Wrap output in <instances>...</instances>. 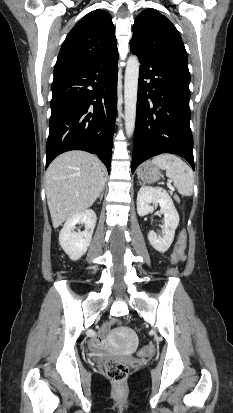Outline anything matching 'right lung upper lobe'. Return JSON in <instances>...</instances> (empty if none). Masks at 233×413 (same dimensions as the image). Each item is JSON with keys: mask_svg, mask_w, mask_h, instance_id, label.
<instances>
[{"mask_svg": "<svg viewBox=\"0 0 233 413\" xmlns=\"http://www.w3.org/2000/svg\"><path fill=\"white\" fill-rule=\"evenodd\" d=\"M118 53L112 19L97 9L83 17L69 32L60 49L54 73Z\"/></svg>", "mask_w": 233, "mask_h": 413, "instance_id": "obj_1", "label": "right lung upper lobe"}]
</instances>
